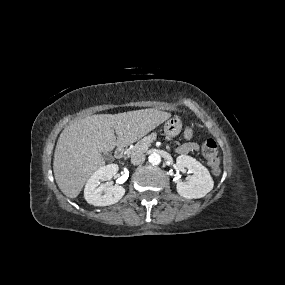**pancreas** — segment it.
Segmentation results:
<instances>
[{"mask_svg": "<svg viewBox=\"0 0 285 285\" xmlns=\"http://www.w3.org/2000/svg\"><path fill=\"white\" fill-rule=\"evenodd\" d=\"M157 137L156 133H151L150 135L144 137L140 141H138L133 147L129 148L127 150V154L130 156H134L136 154H142L145 153L148 148L150 143H152ZM166 140H170L169 137H166Z\"/></svg>", "mask_w": 285, "mask_h": 285, "instance_id": "cf45deb5", "label": "pancreas"}]
</instances>
